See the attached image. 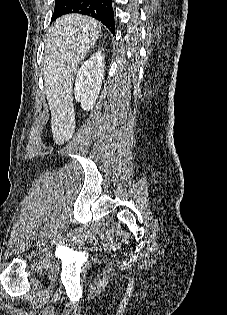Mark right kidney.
I'll use <instances>...</instances> for the list:
<instances>
[{"label":"right kidney","instance_id":"obj_1","mask_svg":"<svg viewBox=\"0 0 227 315\" xmlns=\"http://www.w3.org/2000/svg\"><path fill=\"white\" fill-rule=\"evenodd\" d=\"M103 56L98 51L87 59L77 72L74 94L84 110H91L101 90L104 78Z\"/></svg>","mask_w":227,"mask_h":315}]
</instances>
